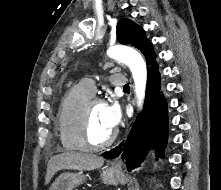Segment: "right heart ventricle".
<instances>
[{"instance_id": "obj_1", "label": "right heart ventricle", "mask_w": 221, "mask_h": 190, "mask_svg": "<svg viewBox=\"0 0 221 190\" xmlns=\"http://www.w3.org/2000/svg\"><path fill=\"white\" fill-rule=\"evenodd\" d=\"M93 95L81 85L73 86L61 101L57 113V131L65 151L84 150L78 138V120L82 106Z\"/></svg>"}]
</instances>
